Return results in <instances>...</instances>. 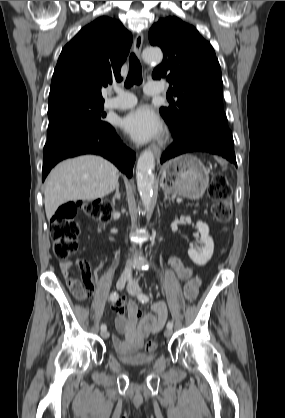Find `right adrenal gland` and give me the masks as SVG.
<instances>
[{
	"mask_svg": "<svg viewBox=\"0 0 285 418\" xmlns=\"http://www.w3.org/2000/svg\"><path fill=\"white\" fill-rule=\"evenodd\" d=\"M120 199H121V192H120V185L118 183L117 186H116L115 194L112 197L113 204H115L116 200H120Z\"/></svg>",
	"mask_w": 285,
	"mask_h": 418,
	"instance_id": "1",
	"label": "right adrenal gland"
}]
</instances>
